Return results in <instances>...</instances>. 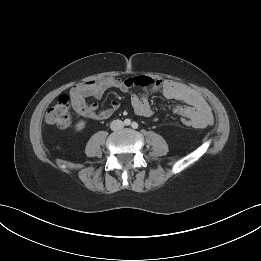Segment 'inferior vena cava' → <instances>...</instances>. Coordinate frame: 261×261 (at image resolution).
<instances>
[{"label": "inferior vena cava", "instance_id": "602c4592", "mask_svg": "<svg viewBox=\"0 0 261 261\" xmlns=\"http://www.w3.org/2000/svg\"><path fill=\"white\" fill-rule=\"evenodd\" d=\"M123 127H124V123L121 120H119V119L113 120L111 122V124H110V128L113 131L119 130V129L123 128Z\"/></svg>", "mask_w": 261, "mask_h": 261}]
</instances>
